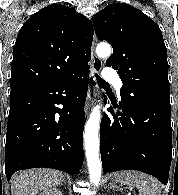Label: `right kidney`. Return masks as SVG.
Returning <instances> with one entry per match:
<instances>
[{"mask_svg": "<svg viewBox=\"0 0 178 195\" xmlns=\"http://www.w3.org/2000/svg\"><path fill=\"white\" fill-rule=\"evenodd\" d=\"M39 195H63V193L56 188L45 189Z\"/></svg>", "mask_w": 178, "mask_h": 195, "instance_id": "right-kidney-1", "label": "right kidney"}]
</instances>
